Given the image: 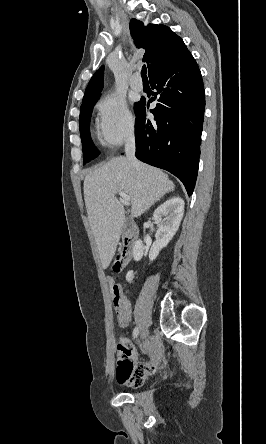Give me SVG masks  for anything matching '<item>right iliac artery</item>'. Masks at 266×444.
Here are the masks:
<instances>
[{"mask_svg": "<svg viewBox=\"0 0 266 444\" xmlns=\"http://www.w3.org/2000/svg\"><path fill=\"white\" fill-rule=\"evenodd\" d=\"M138 334H139V329H138V327H135L133 330V338L134 339L137 338Z\"/></svg>", "mask_w": 266, "mask_h": 444, "instance_id": "obj_1", "label": "right iliac artery"}]
</instances>
